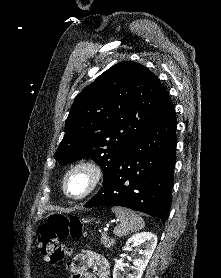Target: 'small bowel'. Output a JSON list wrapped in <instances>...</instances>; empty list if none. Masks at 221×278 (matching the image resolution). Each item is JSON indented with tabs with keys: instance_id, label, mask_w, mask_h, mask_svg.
<instances>
[{
	"instance_id": "small-bowel-1",
	"label": "small bowel",
	"mask_w": 221,
	"mask_h": 278,
	"mask_svg": "<svg viewBox=\"0 0 221 278\" xmlns=\"http://www.w3.org/2000/svg\"><path fill=\"white\" fill-rule=\"evenodd\" d=\"M72 278H109L106 259L94 251L78 253L71 265Z\"/></svg>"
}]
</instances>
